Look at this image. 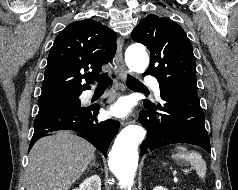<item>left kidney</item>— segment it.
Here are the masks:
<instances>
[{"label":"left kidney","mask_w":238,"mask_h":190,"mask_svg":"<svg viewBox=\"0 0 238 190\" xmlns=\"http://www.w3.org/2000/svg\"><path fill=\"white\" fill-rule=\"evenodd\" d=\"M153 190H168V189L162 186H156Z\"/></svg>","instance_id":"left-kidney-1"}]
</instances>
